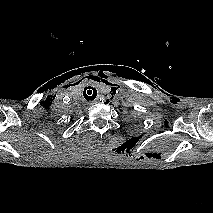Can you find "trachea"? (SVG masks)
I'll return each mask as SVG.
<instances>
[{"mask_svg":"<svg viewBox=\"0 0 213 213\" xmlns=\"http://www.w3.org/2000/svg\"><path fill=\"white\" fill-rule=\"evenodd\" d=\"M96 95H97V90L93 87H88L84 91V97L86 98V100H93L95 99Z\"/></svg>","mask_w":213,"mask_h":213,"instance_id":"1","label":"trachea"}]
</instances>
